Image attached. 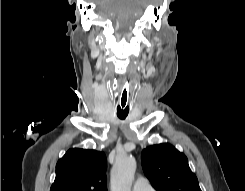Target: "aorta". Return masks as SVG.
<instances>
[{
  "mask_svg": "<svg viewBox=\"0 0 245 191\" xmlns=\"http://www.w3.org/2000/svg\"><path fill=\"white\" fill-rule=\"evenodd\" d=\"M135 171L136 160L133 156H119L112 168L110 190L131 191Z\"/></svg>",
  "mask_w": 245,
  "mask_h": 191,
  "instance_id": "aorta-1",
  "label": "aorta"
}]
</instances>
